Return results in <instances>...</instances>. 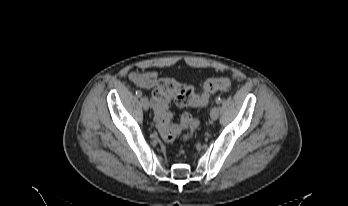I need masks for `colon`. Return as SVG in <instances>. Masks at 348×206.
<instances>
[{"label": "colon", "mask_w": 348, "mask_h": 206, "mask_svg": "<svg viewBox=\"0 0 348 206\" xmlns=\"http://www.w3.org/2000/svg\"><path fill=\"white\" fill-rule=\"evenodd\" d=\"M231 87L228 76L211 78L204 84L203 93L197 95L194 88L180 84L172 79H162L152 92V107L156 126L167 142H173L185 129L189 130L187 137H192L198 128V121L190 114L183 113L179 124L172 123L169 103L174 98L180 107H201L207 103L209 96L217 91H226Z\"/></svg>", "instance_id": "5ec220e1"}]
</instances>
